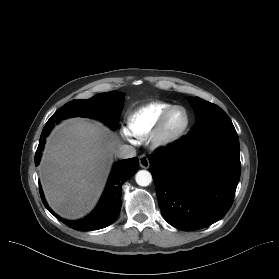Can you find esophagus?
I'll return each instance as SVG.
<instances>
[{"label":"esophagus","instance_id":"34e87169","mask_svg":"<svg viewBox=\"0 0 279 279\" xmlns=\"http://www.w3.org/2000/svg\"><path fill=\"white\" fill-rule=\"evenodd\" d=\"M139 164L142 168L147 169L150 165L148 157L146 155H141L139 157Z\"/></svg>","mask_w":279,"mask_h":279}]
</instances>
